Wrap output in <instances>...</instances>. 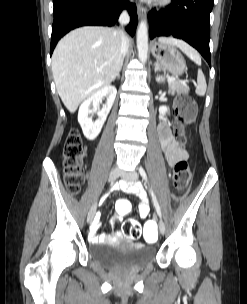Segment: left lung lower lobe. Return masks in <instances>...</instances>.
<instances>
[{"label": "left lung lower lobe", "instance_id": "0a47b994", "mask_svg": "<svg viewBox=\"0 0 247 304\" xmlns=\"http://www.w3.org/2000/svg\"><path fill=\"white\" fill-rule=\"evenodd\" d=\"M214 0H172L168 9L148 14L150 38L173 36L196 48L211 66L210 12Z\"/></svg>", "mask_w": 247, "mask_h": 304}]
</instances>
